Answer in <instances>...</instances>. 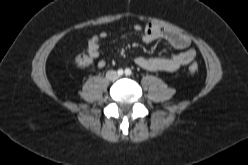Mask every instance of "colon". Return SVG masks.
Segmentation results:
<instances>
[{"label":"colon","mask_w":248,"mask_h":165,"mask_svg":"<svg viewBox=\"0 0 248 165\" xmlns=\"http://www.w3.org/2000/svg\"><path fill=\"white\" fill-rule=\"evenodd\" d=\"M75 63L78 68H86L92 63V59L86 54H78L75 58ZM188 70L190 73H196L198 71V65L196 63H192L190 64Z\"/></svg>","instance_id":"colon-1"}]
</instances>
